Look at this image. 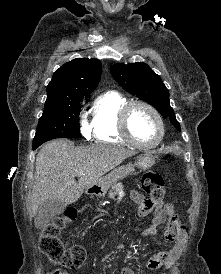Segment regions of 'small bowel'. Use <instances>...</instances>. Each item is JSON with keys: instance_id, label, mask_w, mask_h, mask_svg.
Segmentation results:
<instances>
[{"instance_id": "1", "label": "small bowel", "mask_w": 221, "mask_h": 274, "mask_svg": "<svg viewBox=\"0 0 221 274\" xmlns=\"http://www.w3.org/2000/svg\"><path fill=\"white\" fill-rule=\"evenodd\" d=\"M131 199L139 205L138 216L145 217L153 212V218L149 227L144 229L142 236L155 235L157 228L163 223H167L164 237L172 242L170 249L158 252L148 261V267L151 270H158L162 267L170 268L181 254L183 242L185 239V226L174 211L171 204H165L162 201H154L143 196L138 191L131 193ZM118 274H136L129 268L122 267ZM165 274V273H163Z\"/></svg>"}]
</instances>
